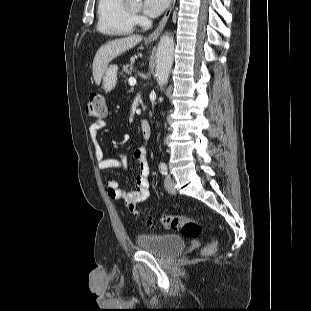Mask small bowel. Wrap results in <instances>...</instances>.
<instances>
[{"mask_svg":"<svg viewBox=\"0 0 311 311\" xmlns=\"http://www.w3.org/2000/svg\"><path fill=\"white\" fill-rule=\"evenodd\" d=\"M106 123L103 120L93 122L89 128L88 133L94 144V156L98 167L101 170L110 169H126L127 157L119 155L118 158H107L104 156L103 150L96 138L98 132L105 127ZM147 146L146 144L138 147L133 157L138 163V175L135 180V188L133 190H122L119 188L118 183L114 179H106L105 184L107 187L108 195L115 200L122 201L131 213H134L136 204L148 199L150 195L149 187V165L146 159Z\"/></svg>","mask_w":311,"mask_h":311,"instance_id":"obj_1","label":"small bowel"}]
</instances>
